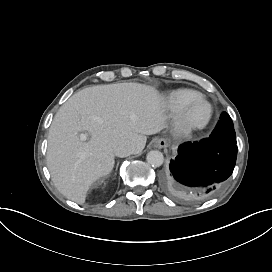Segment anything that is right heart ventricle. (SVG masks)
<instances>
[{
	"mask_svg": "<svg viewBox=\"0 0 272 272\" xmlns=\"http://www.w3.org/2000/svg\"><path fill=\"white\" fill-rule=\"evenodd\" d=\"M199 92L192 88H180L168 94V102L173 108H179L180 104L188 99L196 97Z\"/></svg>",
	"mask_w": 272,
	"mask_h": 272,
	"instance_id": "right-heart-ventricle-1",
	"label": "right heart ventricle"
}]
</instances>
